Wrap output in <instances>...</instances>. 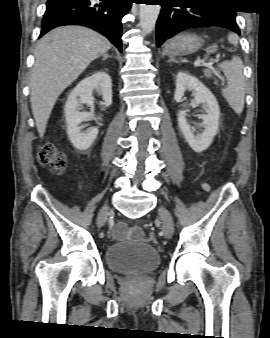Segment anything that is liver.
I'll return each instance as SVG.
<instances>
[{
    "instance_id": "obj_1",
    "label": "liver",
    "mask_w": 270,
    "mask_h": 338,
    "mask_svg": "<svg viewBox=\"0 0 270 338\" xmlns=\"http://www.w3.org/2000/svg\"><path fill=\"white\" fill-rule=\"evenodd\" d=\"M110 48L107 38L81 26L59 27L40 39L30 81L31 108L40 137L60 94Z\"/></svg>"
}]
</instances>
